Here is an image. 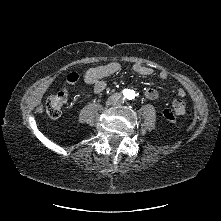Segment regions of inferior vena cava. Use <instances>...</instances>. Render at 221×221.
<instances>
[{
  "instance_id": "inferior-vena-cava-1",
  "label": "inferior vena cava",
  "mask_w": 221,
  "mask_h": 221,
  "mask_svg": "<svg viewBox=\"0 0 221 221\" xmlns=\"http://www.w3.org/2000/svg\"><path fill=\"white\" fill-rule=\"evenodd\" d=\"M122 95L120 93H113L111 96H110V100L112 102H117L121 99Z\"/></svg>"
}]
</instances>
